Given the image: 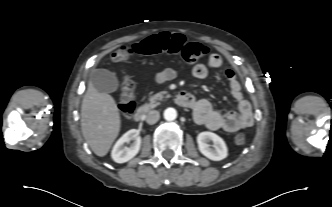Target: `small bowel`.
<instances>
[{"instance_id": "obj_1", "label": "small bowel", "mask_w": 332, "mask_h": 207, "mask_svg": "<svg viewBox=\"0 0 332 207\" xmlns=\"http://www.w3.org/2000/svg\"><path fill=\"white\" fill-rule=\"evenodd\" d=\"M221 65V58L216 54H212L209 56L206 64H196L192 73L194 77L204 79L207 77L210 69H217ZM176 75L177 71L175 69L167 68L156 75L155 82L161 84L175 78ZM224 75L229 83L231 95L237 102L238 112H222L214 109L206 99L195 100L191 108L197 123L205 125L211 130L236 132L253 124L252 108L242 92L241 84L236 77L235 71L232 68H227L224 71Z\"/></svg>"}]
</instances>
